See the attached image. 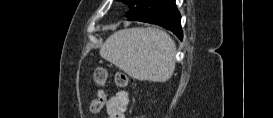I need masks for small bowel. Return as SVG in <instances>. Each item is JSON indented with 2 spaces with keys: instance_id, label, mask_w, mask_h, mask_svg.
<instances>
[{
  "instance_id": "c3829d8e",
  "label": "small bowel",
  "mask_w": 273,
  "mask_h": 118,
  "mask_svg": "<svg viewBox=\"0 0 273 118\" xmlns=\"http://www.w3.org/2000/svg\"><path fill=\"white\" fill-rule=\"evenodd\" d=\"M129 103V95L126 91H119L109 98L106 111L109 118H125V112Z\"/></svg>"
}]
</instances>
